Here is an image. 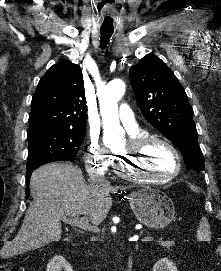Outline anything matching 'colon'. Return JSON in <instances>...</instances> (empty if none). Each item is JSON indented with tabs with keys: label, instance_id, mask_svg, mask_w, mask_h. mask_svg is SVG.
<instances>
[{
	"label": "colon",
	"instance_id": "obj_1",
	"mask_svg": "<svg viewBox=\"0 0 221 271\" xmlns=\"http://www.w3.org/2000/svg\"><path fill=\"white\" fill-rule=\"evenodd\" d=\"M9 270H10V269H9V268H7V267H5V268H4V271H9Z\"/></svg>",
	"mask_w": 221,
	"mask_h": 271
}]
</instances>
